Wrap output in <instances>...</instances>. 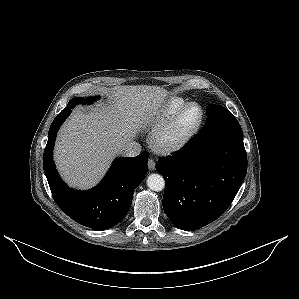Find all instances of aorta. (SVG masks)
I'll return each instance as SVG.
<instances>
[{
	"instance_id": "aorta-1",
	"label": "aorta",
	"mask_w": 299,
	"mask_h": 299,
	"mask_svg": "<svg viewBox=\"0 0 299 299\" xmlns=\"http://www.w3.org/2000/svg\"><path fill=\"white\" fill-rule=\"evenodd\" d=\"M147 186L153 191H162L165 188L164 178L160 174L153 173L147 178Z\"/></svg>"
}]
</instances>
